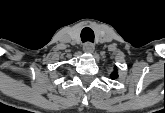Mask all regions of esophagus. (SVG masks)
<instances>
[{
    "mask_svg": "<svg viewBox=\"0 0 165 113\" xmlns=\"http://www.w3.org/2000/svg\"><path fill=\"white\" fill-rule=\"evenodd\" d=\"M95 47H94V44L91 43V42H86L84 45H83V50L84 52L86 53H92L94 51Z\"/></svg>",
    "mask_w": 165,
    "mask_h": 113,
    "instance_id": "34e87169",
    "label": "esophagus"
}]
</instances>
